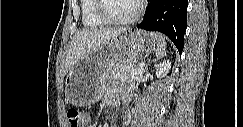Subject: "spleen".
Returning <instances> with one entry per match:
<instances>
[{
    "mask_svg": "<svg viewBox=\"0 0 243 127\" xmlns=\"http://www.w3.org/2000/svg\"><path fill=\"white\" fill-rule=\"evenodd\" d=\"M153 39H154L155 44L157 45L156 57L161 58L166 54V52H165V50H166L165 39L163 38L162 35H159V34H154Z\"/></svg>",
    "mask_w": 243,
    "mask_h": 127,
    "instance_id": "obj_1",
    "label": "spleen"
}]
</instances>
